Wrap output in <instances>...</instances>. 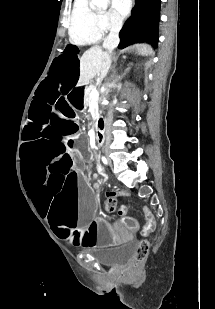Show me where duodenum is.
<instances>
[{"label":"duodenum","instance_id":"duodenum-1","mask_svg":"<svg viewBox=\"0 0 215 309\" xmlns=\"http://www.w3.org/2000/svg\"><path fill=\"white\" fill-rule=\"evenodd\" d=\"M104 119L102 117L97 118L96 120V131H95V137H96V144L100 147L105 146V133H104ZM155 226V222L153 221V227Z\"/></svg>","mask_w":215,"mask_h":309}]
</instances>
